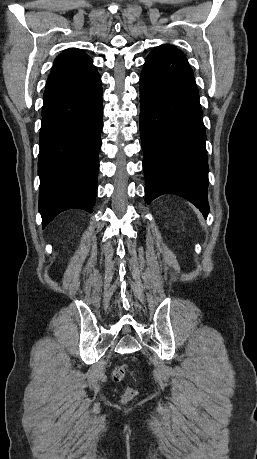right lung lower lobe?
I'll return each mask as SVG.
<instances>
[{"mask_svg": "<svg viewBox=\"0 0 257 459\" xmlns=\"http://www.w3.org/2000/svg\"><path fill=\"white\" fill-rule=\"evenodd\" d=\"M102 115L98 73L45 89L38 161L43 228L68 209L93 212Z\"/></svg>", "mask_w": 257, "mask_h": 459, "instance_id": "1", "label": "right lung lower lobe"}]
</instances>
